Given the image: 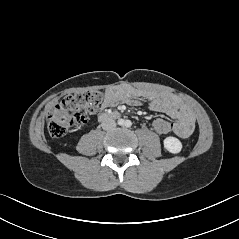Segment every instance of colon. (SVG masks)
I'll return each mask as SVG.
<instances>
[{
  "label": "colon",
  "mask_w": 239,
  "mask_h": 239,
  "mask_svg": "<svg viewBox=\"0 0 239 239\" xmlns=\"http://www.w3.org/2000/svg\"><path fill=\"white\" fill-rule=\"evenodd\" d=\"M99 91H86L65 96L48 115V132L52 137L65 136L72 128L84 125L89 115L102 104ZM152 130L157 135H166L171 130V121L166 116H157L152 121Z\"/></svg>",
  "instance_id": "colon-1"
}]
</instances>
